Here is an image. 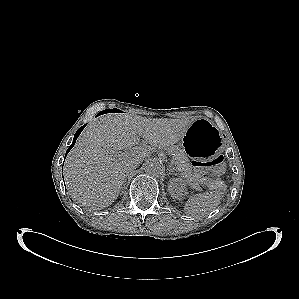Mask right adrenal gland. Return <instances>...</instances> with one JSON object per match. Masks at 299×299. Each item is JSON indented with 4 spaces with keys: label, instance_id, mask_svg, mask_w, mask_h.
<instances>
[{
    "label": "right adrenal gland",
    "instance_id": "1",
    "mask_svg": "<svg viewBox=\"0 0 299 299\" xmlns=\"http://www.w3.org/2000/svg\"><path fill=\"white\" fill-rule=\"evenodd\" d=\"M124 182H126V179H125V181H124ZM123 186L125 187V184H124ZM124 187H123V188H124Z\"/></svg>",
    "mask_w": 299,
    "mask_h": 299
}]
</instances>
